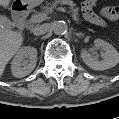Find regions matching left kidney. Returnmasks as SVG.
Here are the masks:
<instances>
[{"label": "left kidney", "instance_id": "1", "mask_svg": "<svg viewBox=\"0 0 119 119\" xmlns=\"http://www.w3.org/2000/svg\"><path fill=\"white\" fill-rule=\"evenodd\" d=\"M94 47L101 50L102 60L99 61L86 49H82L81 57L88 67L94 70H106L116 66L119 63V53L110 43L102 39H95Z\"/></svg>", "mask_w": 119, "mask_h": 119}]
</instances>
